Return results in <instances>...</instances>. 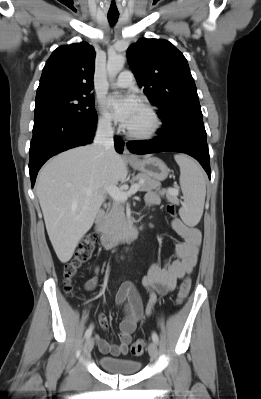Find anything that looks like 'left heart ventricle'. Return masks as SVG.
<instances>
[{
    "label": "left heart ventricle",
    "instance_id": "obj_1",
    "mask_svg": "<svg viewBox=\"0 0 261 399\" xmlns=\"http://www.w3.org/2000/svg\"><path fill=\"white\" fill-rule=\"evenodd\" d=\"M151 125V119L144 108L135 116L128 129L135 132H141L148 129Z\"/></svg>",
    "mask_w": 261,
    "mask_h": 399
}]
</instances>
